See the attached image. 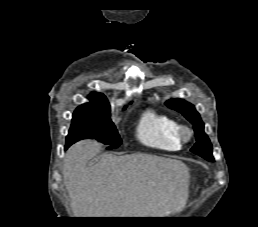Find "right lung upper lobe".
<instances>
[{
	"mask_svg": "<svg viewBox=\"0 0 258 227\" xmlns=\"http://www.w3.org/2000/svg\"><path fill=\"white\" fill-rule=\"evenodd\" d=\"M89 103L83 104L78 108L87 109H110V105L106 97L102 93L92 92L89 95Z\"/></svg>",
	"mask_w": 258,
	"mask_h": 227,
	"instance_id": "obj_1",
	"label": "right lung upper lobe"
}]
</instances>
